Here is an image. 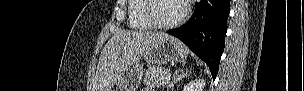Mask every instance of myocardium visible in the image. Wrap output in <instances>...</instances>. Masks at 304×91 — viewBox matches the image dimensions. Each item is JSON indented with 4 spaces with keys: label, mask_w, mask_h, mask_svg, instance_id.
<instances>
[{
    "label": "myocardium",
    "mask_w": 304,
    "mask_h": 91,
    "mask_svg": "<svg viewBox=\"0 0 304 91\" xmlns=\"http://www.w3.org/2000/svg\"><path fill=\"white\" fill-rule=\"evenodd\" d=\"M156 0H145V5H144V9H143V13L144 16L146 18V20L152 25L153 28L155 29H172L175 28L177 26H179L188 16L189 13V5L187 3V1L185 0H180L182 5H183V11L181 13V15L175 19L172 22L169 23H161L158 22L154 15H153V3Z\"/></svg>",
    "instance_id": "f54148a6"
}]
</instances>
